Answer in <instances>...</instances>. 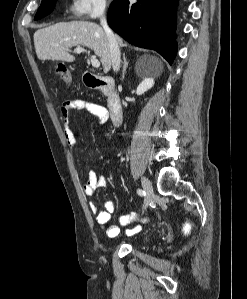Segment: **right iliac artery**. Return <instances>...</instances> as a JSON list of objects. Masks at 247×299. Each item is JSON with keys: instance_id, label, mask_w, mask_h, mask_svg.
Returning <instances> with one entry per match:
<instances>
[{"instance_id": "obj_1", "label": "right iliac artery", "mask_w": 247, "mask_h": 299, "mask_svg": "<svg viewBox=\"0 0 247 299\" xmlns=\"http://www.w3.org/2000/svg\"><path fill=\"white\" fill-rule=\"evenodd\" d=\"M137 193H138V195H140V196H145V195H146L145 191H143V190H141V189H138V190H137Z\"/></svg>"}]
</instances>
